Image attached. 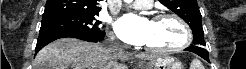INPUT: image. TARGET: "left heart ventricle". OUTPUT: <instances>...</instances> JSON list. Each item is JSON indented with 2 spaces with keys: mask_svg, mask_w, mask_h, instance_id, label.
Listing matches in <instances>:
<instances>
[{
  "mask_svg": "<svg viewBox=\"0 0 246 69\" xmlns=\"http://www.w3.org/2000/svg\"><path fill=\"white\" fill-rule=\"evenodd\" d=\"M183 38V30L174 20L151 21L145 45L155 48H168L179 44Z\"/></svg>",
  "mask_w": 246,
  "mask_h": 69,
  "instance_id": "1",
  "label": "left heart ventricle"
}]
</instances>
